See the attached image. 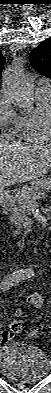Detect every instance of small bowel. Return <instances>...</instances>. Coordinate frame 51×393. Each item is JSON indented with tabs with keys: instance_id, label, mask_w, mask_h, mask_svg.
Wrapping results in <instances>:
<instances>
[{
	"instance_id": "small-bowel-1",
	"label": "small bowel",
	"mask_w": 51,
	"mask_h": 393,
	"mask_svg": "<svg viewBox=\"0 0 51 393\" xmlns=\"http://www.w3.org/2000/svg\"><path fill=\"white\" fill-rule=\"evenodd\" d=\"M26 302L28 303V305H30L34 309H40L43 306V298L39 294L28 295L26 297ZM21 314H22V309L21 308H17V309L14 310V315L15 316H20ZM12 336H13V332L12 331H4L2 333V339L5 342H8L12 338Z\"/></svg>"
}]
</instances>
